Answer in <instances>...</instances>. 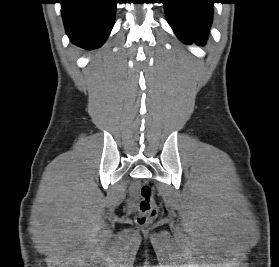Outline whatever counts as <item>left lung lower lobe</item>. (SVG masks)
<instances>
[{
    "label": "left lung lower lobe",
    "mask_w": 279,
    "mask_h": 267,
    "mask_svg": "<svg viewBox=\"0 0 279 267\" xmlns=\"http://www.w3.org/2000/svg\"><path fill=\"white\" fill-rule=\"evenodd\" d=\"M170 26L186 44L205 43L215 0H163Z\"/></svg>",
    "instance_id": "1"
}]
</instances>
